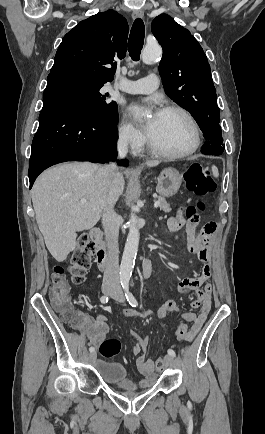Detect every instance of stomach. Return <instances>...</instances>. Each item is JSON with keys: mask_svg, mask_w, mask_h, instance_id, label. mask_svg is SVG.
<instances>
[{"mask_svg": "<svg viewBox=\"0 0 265 434\" xmlns=\"http://www.w3.org/2000/svg\"><path fill=\"white\" fill-rule=\"evenodd\" d=\"M182 184V178L175 168H166L161 172L157 182V192L162 198H170L177 194Z\"/></svg>", "mask_w": 265, "mask_h": 434, "instance_id": "0dacf381", "label": "stomach"}]
</instances>
